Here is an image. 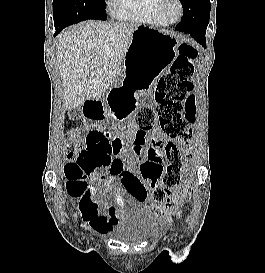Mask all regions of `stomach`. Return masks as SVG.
I'll use <instances>...</instances> for the list:
<instances>
[{
  "instance_id": "obj_1",
  "label": "stomach",
  "mask_w": 265,
  "mask_h": 273,
  "mask_svg": "<svg viewBox=\"0 0 265 273\" xmlns=\"http://www.w3.org/2000/svg\"><path fill=\"white\" fill-rule=\"evenodd\" d=\"M177 48L178 41L166 32L146 25L137 28L125 54L124 72L116 90H137V95H144V89L165 73Z\"/></svg>"
}]
</instances>
